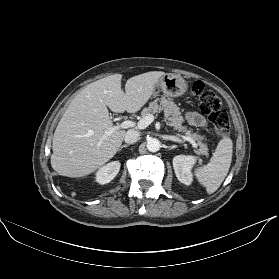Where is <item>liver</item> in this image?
<instances>
[{
  "instance_id": "liver-1",
  "label": "liver",
  "mask_w": 279,
  "mask_h": 279,
  "mask_svg": "<svg viewBox=\"0 0 279 279\" xmlns=\"http://www.w3.org/2000/svg\"><path fill=\"white\" fill-rule=\"evenodd\" d=\"M166 73L152 71L127 80L121 89V74H114L87 85L70 103L53 135L52 168L62 176L91 174L119 150L124 130L106 135L113 123V112L135 113L154 94L158 81Z\"/></svg>"
}]
</instances>
